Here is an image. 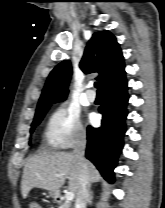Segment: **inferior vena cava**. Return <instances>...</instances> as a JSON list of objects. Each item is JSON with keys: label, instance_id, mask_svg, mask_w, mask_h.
<instances>
[{"label": "inferior vena cava", "instance_id": "1", "mask_svg": "<svg viewBox=\"0 0 165 208\" xmlns=\"http://www.w3.org/2000/svg\"><path fill=\"white\" fill-rule=\"evenodd\" d=\"M86 148V136L83 134L79 136L78 141L74 147L73 156L77 161L79 168L80 189L78 191L75 208H86L89 200L90 181L87 172V166L84 162V152Z\"/></svg>", "mask_w": 165, "mask_h": 208}]
</instances>
